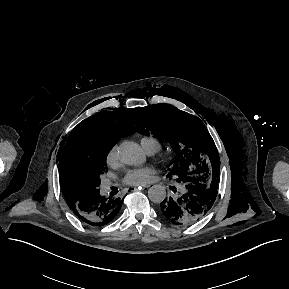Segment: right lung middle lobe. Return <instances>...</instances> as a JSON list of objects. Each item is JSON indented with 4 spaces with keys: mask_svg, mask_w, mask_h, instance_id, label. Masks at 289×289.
<instances>
[{
    "mask_svg": "<svg viewBox=\"0 0 289 289\" xmlns=\"http://www.w3.org/2000/svg\"><path fill=\"white\" fill-rule=\"evenodd\" d=\"M110 150L111 147L101 148L74 171L76 185L83 194L98 190L101 183L100 175L107 169L106 158Z\"/></svg>",
    "mask_w": 289,
    "mask_h": 289,
    "instance_id": "obj_1",
    "label": "right lung middle lobe"
}]
</instances>
